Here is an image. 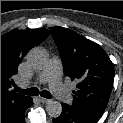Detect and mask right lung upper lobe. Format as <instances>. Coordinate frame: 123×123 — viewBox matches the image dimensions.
Instances as JSON below:
<instances>
[{
  "mask_svg": "<svg viewBox=\"0 0 123 123\" xmlns=\"http://www.w3.org/2000/svg\"><path fill=\"white\" fill-rule=\"evenodd\" d=\"M48 35L47 29L38 28L14 29L1 36V113L21 107L30 98L11 91L10 87L14 85L13 77L23 57Z\"/></svg>",
  "mask_w": 123,
  "mask_h": 123,
  "instance_id": "right-lung-upper-lobe-1",
  "label": "right lung upper lobe"
}]
</instances>
